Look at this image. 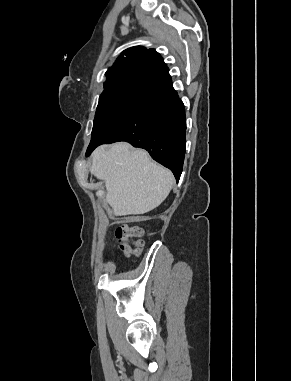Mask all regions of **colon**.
<instances>
[{
  "label": "colon",
  "mask_w": 291,
  "mask_h": 381,
  "mask_svg": "<svg viewBox=\"0 0 291 381\" xmlns=\"http://www.w3.org/2000/svg\"><path fill=\"white\" fill-rule=\"evenodd\" d=\"M142 232L138 226L119 225L115 228V236L118 241L120 251L127 255H135L139 253L141 242L139 237Z\"/></svg>",
  "instance_id": "obj_1"
}]
</instances>
